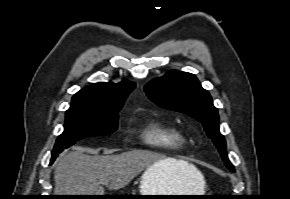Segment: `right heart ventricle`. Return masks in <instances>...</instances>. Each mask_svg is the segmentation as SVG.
I'll return each instance as SVG.
<instances>
[{"label":"right heart ventricle","instance_id":"right-heart-ventricle-1","mask_svg":"<svg viewBox=\"0 0 290 199\" xmlns=\"http://www.w3.org/2000/svg\"><path fill=\"white\" fill-rule=\"evenodd\" d=\"M140 130L143 139L158 148L176 149L186 143L185 136L176 126L158 119L145 120Z\"/></svg>","mask_w":290,"mask_h":199}]
</instances>
